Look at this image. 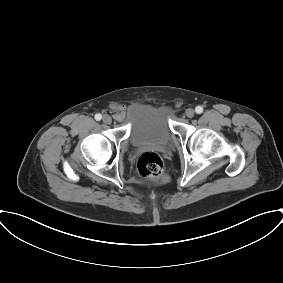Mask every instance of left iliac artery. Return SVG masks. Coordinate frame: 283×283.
<instances>
[{"label": "left iliac artery", "mask_w": 283, "mask_h": 283, "mask_svg": "<svg viewBox=\"0 0 283 283\" xmlns=\"http://www.w3.org/2000/svg\"><path fill=\"white\" fill-rule=\"evenodd\" d=\"M195 111H196L197 114H201L203 112V108L201 106H197L195 108Z\"/></svg>", "instance_id": "obj_1"}]
</instances>
